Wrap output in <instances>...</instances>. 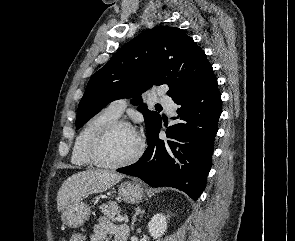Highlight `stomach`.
I'll return each instance as SVG.
<instances>
[{
  "mask_svg": "<svg viewBox=\"0 0 295 241\" xmlns=\"http://www.w3.org/2000/svg\"><path fill=\"white\" fill-rule=\"evenodd\" d=\"M145 194V187L136 179L124 181L118 187L119 198L127 203H138L142 201ZM90 214V207L79 200L64 208L61 220L70 228H79L89 219Z\"/></svg>",
  "mask_w": 295,
  "mask_h": 241,
  "instance_id": "1",
  "label": "stomach"
}]
</instances>
